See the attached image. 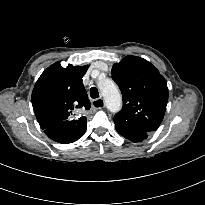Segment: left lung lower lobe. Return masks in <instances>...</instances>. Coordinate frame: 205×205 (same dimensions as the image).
<instances>
[{"label":"left lung lower lobe","instance_id":"left-lung-lower-lobe-1","mask_svg":"<svg viewBox=\"0 0 205 205\" xmlns=\"http://www.w3.org/2000/svg\"><path fill=\"white\" fill-rule=\"evenodd\" d=\"M117 132L132 142H141L148 137L149 132L129 125L121 120L113 118Z\"/></svg>","mask_w":205,"mask_h":205}]
</instances>
